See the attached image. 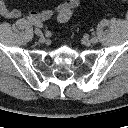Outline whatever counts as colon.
<instances>
[{
    "mask_svg": "<svg viewBox=\"0 0 128 128\" xmlns=\"http://www.w3.org/2000/svg\"><path fill=\"white\" fill-rule=\"evenodd\" d=\"M72 15H73V9L71 8L62 9L58 13V21L60 23H65L72 17Z\"/></svg>",
    "mask_w": 128,
    "mask_h": 128,
    "instance_id": "colon-1",
    "label": "colon"
}]
</instances>
